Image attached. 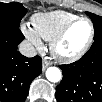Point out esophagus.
<instances>
[{
  "mask_svg": "<svg viewBox=\"0 0 102 102\" xmlns=\"http://www.w3.org/2000/svg\"><path fill=\"white\" fill-rule=\"evenodd\" d=\"M51 65V62L48 61V60H43V63H42V70L44 71L46 68H48L49 66Z\"/></svg>",
  "mask_w": 102,
  "mask_h": 102,
  "instance_id": "34e87169",
  "label": "esophagus"
}]
</instances>
